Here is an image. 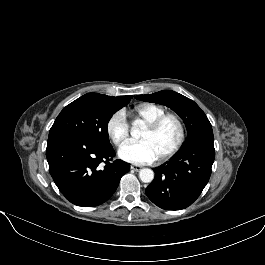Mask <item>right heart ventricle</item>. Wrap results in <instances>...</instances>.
<instances>
[{
	"label": "right heart ventricle",
	"instance_id": "right-heart-ventricle-1",
	"mask_svg": "<svg viewBox=\"0 0 265 265\" xmlns=\"http://www.w3.org/2000/svg\"><path fill=\"white\" fill-rule=\"evenodd\" d=\"M165 113V108L159 105L153 103H142L132 109L131 117L134 124L146 125Z\"/></svg>",
	"mask_w": 265,
	"mask_h": 265
}]
</instances>
